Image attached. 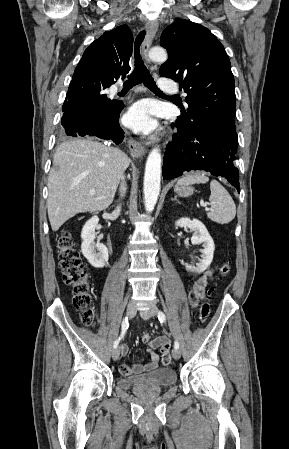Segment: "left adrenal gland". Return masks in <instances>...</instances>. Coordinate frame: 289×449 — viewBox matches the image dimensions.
Listing matches in <instances>:
<instances>
[{
    "mask_svg": "<svg viewBox=\"0 0 289 449\" xmlns=\"http://www.w3.org/2000/svg\"><path fill=\"white\" fill-rule=\"evenodd\" d=\"M171 200H174V201L180 203V202L177 200V197H176V196H175L174 198H172Z\"/></svg>",
    "mask_w": 289,
    "mask_h": 449,
    "instance_id": "1",
    "label": "left adrenal gland"
}]
</instances>
